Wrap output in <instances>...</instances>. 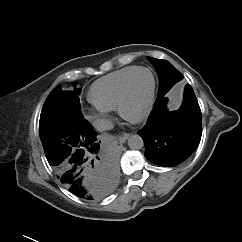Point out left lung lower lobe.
Masks as SVG:
<instances>
[{"instance_id":"0a47b994","label":"left lung lower lobe","mask_w":242,"mask_h":242,"mask_svg":"<svg viewBox=\"0 0 242 242\" xmlns=\"http://www.w3.org/2000/svg\"><path fill=\"white\" fill-rule=\"evenodd\" d=\"M167 98H157L145 127L138 132L145 144V157L152 163L172 167L184 162L199 145L201 110L190 85L176 111L167 109Z\"/></svg>"}]
</instances>
